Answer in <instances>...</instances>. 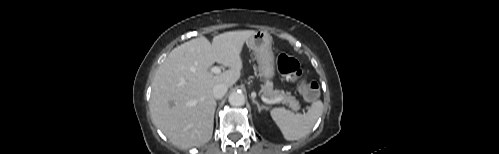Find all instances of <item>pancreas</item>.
<instances>
[{
    "instance_id": "obj_1",
    "label": "pancreas",
    "mask_w": 499,
    "mask_h": 154,
    "mask_svg": "<svg viewBox=\"0 0 499 154\" xmlns=\"http://www.w3.org/2000/svg\"><path fill=\"white\" fill-rule=\"evenodd\" d=\"M263 89L264 95L268 99H280L279 102L287 104L293 110L300 109L299 101L294 96H291L290 93L284 92L283 90H274L271 82H266Z\"/></svg>"
}]
</instances>
